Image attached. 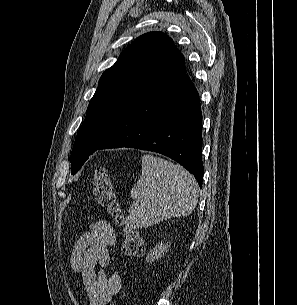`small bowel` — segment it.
Masks as SVG:
<instances>
[{
    "label": "small bowel",
    "instance_id": "c3829d8e",
    "mask_svg": "<svg viewBox=\"0 0 297 305\" xmlns=\"http://www.w3.org/2000/svg\"><path fill=\"white\" fill-rule=\"evenodd\" d=\"M115 243L116 233L106 220L95 221L75 240L70 265L83 281L89 305H109L122 289L121 277L106 272Z\"/></svg>",
    "mask_w": 297,
    "mask_h": 305
}]
</instances>
